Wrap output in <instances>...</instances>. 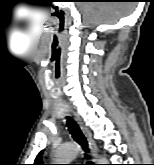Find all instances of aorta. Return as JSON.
Here are the masks:
<instances>
[{"instance_id":"aorta-1","label":"aorta","mask_w":154,"mask_h":165,"mask_svg":"<svg viewBox=\"0 0 154 165\" xmlns=\"http://www.w3.org/2000/svg\"><path fill=\"white\" fill-rule=\"evenodd\" d=\"M79 152V147L75 144H67L59 147L55 152V164H70ZM99 164H107L104 157L99 159Z\"/></svg>"}]
</instances>
